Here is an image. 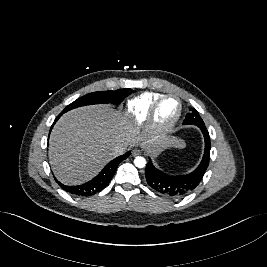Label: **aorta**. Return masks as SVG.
Instances as JSON below:
<instances>
[{
	"label": "aorta",
	"mask_w": 267,
	"mask_h": 267,
	"mask_svg": "<svg viewBox=\"0 0 267 267\" xmlns=\"http://www.w3.org/2000/svg\"><path fill=\"white\" fill-rule=\"evenodd\" d=\"M134 164L137 168H143L146 166V160L144 157H141V156H137L135 159H134Z\"/></svg>",
	"instance_id": "aorta-1"
}]
</instances>
